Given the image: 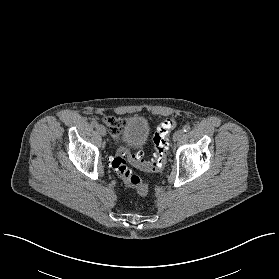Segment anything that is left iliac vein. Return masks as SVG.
<instances>
[{"label":"left iliac vein","mask_w":279,"mask_h":279,"mask_svg":"<svg viewBox=\"0 0 279 279\" xmlns=\"http://www.w3.org/2000/svg\"><path fill=\"white\" fill-rule=\"evenodd\" d=\"M184 136V131L183 130H177L175 132V134L173 135V140L176 141H180Z\"/></svg>","instance_id":"left-iliac-vein-1"}]
</instances>
